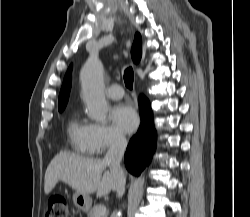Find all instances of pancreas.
I'll use <instances>...</instances> for the list:
<instances>
[{"instance_id": "obj_1", "label": "pancreas", "mask_w": 250, "mask_h": 217, "mask_svg": "<svg viewBox=\"0 0 250 217\" xmlns=\"http://www.w3.org/2000/svg\"><path fill=\"white\" fill-rule=\"evenodd\" d=\"M100 206L101 205L99 204L94 205L93 208H91L90 211L88 212V217H96V211ZM100 217H107V213L101 215Z\"/></svg>"}]
</instances>
